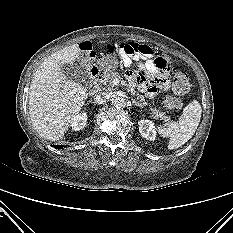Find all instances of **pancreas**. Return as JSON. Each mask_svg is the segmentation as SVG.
<instances>
[{"label":"pancreas","mask_w":233,"mask_h":233,"mask_svg":"<svg viewBox=\"0 0 233 233\" xmlns=\"http://www.w3.org/2000/svg\"><path fill=\"white\" fill-rule=\"evenodd\" d=\"M118 77H119V73L111 72L107 74L101 82L107 86L108 91H113L115 89V86L113 85V81L115 78H118ZM136 96H137V100H139L138 103H140L141 105H147V102L143 95L136 94ZM151 115L154 119H157V120L159 119L165 122H168L170 120V117L167 116L165 112H161L160 110L156 108L151 109Z\"/></svg>","instance_id":"pancreas-1"}]
</instances>
